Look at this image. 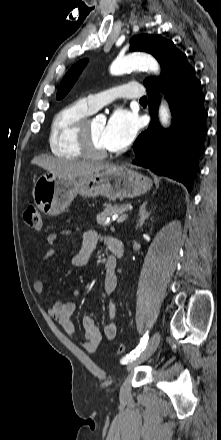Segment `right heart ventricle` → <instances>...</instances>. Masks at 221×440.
<instances>
[{
	"label": "right heart ventricle",
	"instance_id": "right-heart-ventricle-1",
	"mask_svg": "<svg viewBox=\"0 0 221 440\" xmlns=\"http://www.w3.org/2000/svg\"><path fill=\"white\" fill-rule=\"evenodd\" d=\"M93 112L85 99H79L67 104L54 115L49 132V147L55 156L66 159L85 157L77 141V127Z\"/></svg>",
	"mask_w": 221,
	"mask_h": 440
}]
</instances>
